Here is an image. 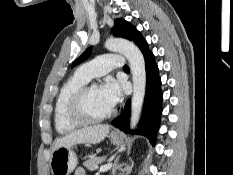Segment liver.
Wrapping results in <instances>:
<instances>
[{
    "label": "liver",
    "mask_w": 233,
    "mask_h": 175,
    "mask_svg": "<svg viewBox=\"0 0 233 175\" xmlns=\"http://www.w3.org/2000/svg\"><path fill=\"white\" fill-rule=\"evenodd\" d=\"M109 128V125H95L72 131L71 133L55 140L53 151L62 146L100 143L107 136Z\"/></svg>",
    "instance_id": "obj_1"
}]
</instances>
